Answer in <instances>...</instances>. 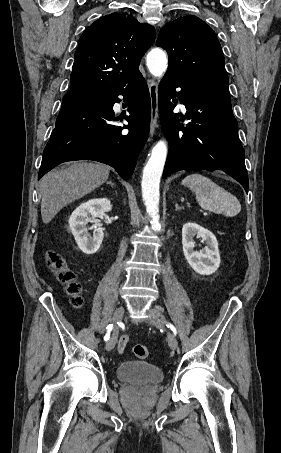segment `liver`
<instances>
[{"label": "liver", "mask_w": 281, "mask_h": 453, "mask_svg": "<svg viewBox=\"0 0 281 453\" xmlns=\"http://www.w3.org/2000/svg\"><path fill=\"white\" fill-rule=\"evenodd\" d=\"M110 166L101 162H73L64 170L47 172L40 180L41 216L47 224L55 214L106 182Z\"/></svg>", "instance_id": "liver-1"}]
</instances>
